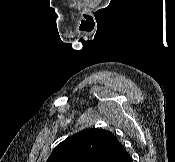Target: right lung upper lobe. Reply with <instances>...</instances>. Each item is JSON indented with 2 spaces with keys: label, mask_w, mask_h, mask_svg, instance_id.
<instances>
[{
  "label": "right lung upper lobe",
  "mask_w": 175,
  "mask_h": 162,
  "mask_svg": "<svg viewBox=\"0 0 175 162\" xmlns=\"http://www.w3.org/2000/svg\"><path fill=\"white\" fill-rule=\"evenodd\" d=\"M127 155L119 140L104 129H84L58 144L46 162H118Z\"/></svg>",
  "instance_id": "cb5924a9"
}]
</instances>
